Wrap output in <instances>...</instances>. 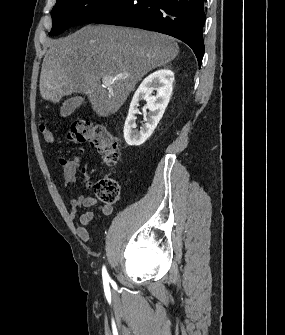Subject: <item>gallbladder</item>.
<instances>
[{
  "instance_id": "bac80fb5",
  "label": "gallbladder",
  "mask_w": 285,
  "mask_h": 335,
  "mask_svg": "<svg viewBox=\"0 0 285 335\" xmlns=\"http://www.w3.org/2000/svg\"><path fill=\"white\" fill-rule=\"evenodd\" d=\"M83 100L82 98H79V96H76V98H69V100H66L64 102L62 108H60V114L63 116V118H66V116H70V114H73L79 106H81Z\"/></svg>"
}]
</instances>
